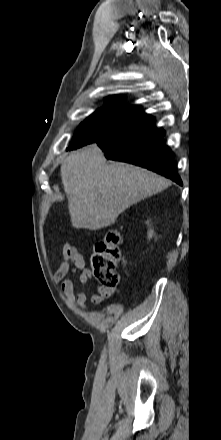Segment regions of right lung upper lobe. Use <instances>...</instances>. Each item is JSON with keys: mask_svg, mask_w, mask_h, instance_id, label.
I'll return each instance as SVG.
<instances>
[{"mask_svg": "<svg viewBox=\"0 0 221 440\" xmlns=\"http://www.w3.org/2000/svg\"><path fill=\"white\" fill-rule=\"evenodd\" d=\"M124 100H125V96L122 95H116V96H111V97H107L105 99L106 103L108 104H112L114 106H116L119 110L122 111H133L135 113L139 112L141 109L138 107H127L124 104Z\"/></svg>", "mask_w": 221, "mask_h": 440, "instance_id": "obj_1", "label": "right lung upper lobe"}]
</instances>
